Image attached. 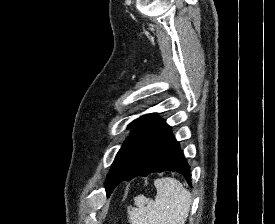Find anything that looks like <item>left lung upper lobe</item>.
Returning a JSON list of instances; mask_svg holds the SVG:
<instances>
[{"label": "left lung upper lobe", "instance_id": "5c2ea615", "mask_svg": "<svg viewBox=\"0 0 275 224\" xmlns=\"http://www.w3.org/2000/svg\"><path fill=\"white\" fill-rule=\"evenodd\" d=\"M162 122L163 120L159 119L156 114H147L130 123L128 128L135 130L117 153L107 180L110 178L116 180L126 174L147 139Z\"/></svg>", "mask_w": 275, "mask_h": 224}]
</instances>
